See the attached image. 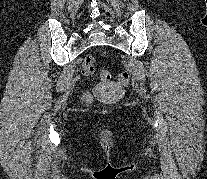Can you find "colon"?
Segmentation results:
<instances>
[{
	"mask_svg": "<svg viewBox=\"0 0 207 179\" xmlns=\"http://www.w3.org/2000/svg\"><path fill=\"white\" fill-rule=\"evenodd\" d=\"M95 59L93 56L89 55L84 59L83 70L86 75H91L94 72ZM99 75L102 80H109L110 73L107 70H100ZM117 81L120 84H127L129 82V74L127 72H121L117 76ZM94 95L92 91L87 90L83 93L82 99L85 103H91L93 101Z\"/></svg>",
	"mask_w": 207,
	"mask_h": 179,
	"instance_id": "1",
	"label": "colon"
}]
</instances>
